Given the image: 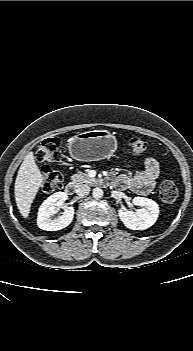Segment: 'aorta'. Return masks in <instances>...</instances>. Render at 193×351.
I'll list each match as a JSON object with an SVG mask.
<instances>
[{"mask_svg": "<svg viewBox=\"0 0 193 351\" xmlns=\"http://www.w3.org/2000/svg\"><path fill=\"white\" fill-rule=\"evenodd\" d=\"M103 190L101 188H94L93 191H92V195L95 199H99V198H102L103 197Z\"/></svg>", "mask_w": 193, "mask_h": 351, "instance_id": "obj_1", "label": "aorta"}]
</instances>
